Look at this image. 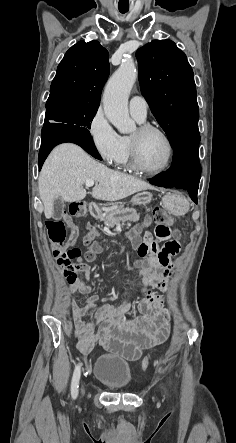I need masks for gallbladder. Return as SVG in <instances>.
Wrapping results in <instances>:
<instances>
[{
  "mask_svg": "<svg viewBox=\"0 0 236 443\" xmlns=\"http://www.w3.org/2000/svg\"><path fill=\"white\" fill-rule=\"evenodd\" d=\"M64 210V200L62 197H59L54 200L53 203V219L58 220L62 218Z\"/></svg>",
  "mask_w": 236,
  "mask_h": 443,
  "instance_id": "1",
  "label": "gallbladder"
}]
</instances>
